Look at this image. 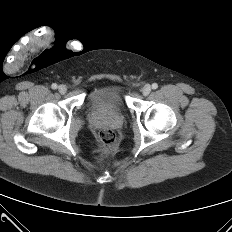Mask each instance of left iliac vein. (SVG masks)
<instances>
[{"mask_svg": "<svg viewBox=\"0 0 232 232\" xmlns=\"http://www.w3.org/2000/svg\"><path fill=\"white\" fill-rule=\"evenodd\" d=\"M151 92V86L149 84H146L142 88L143 95L147 96Z\"/></svg>", "mask_w": 232, "mask_h": 232, "instance_id": "left-iliac-vein-1", "label": "left iliac vein"}]
</instances>
